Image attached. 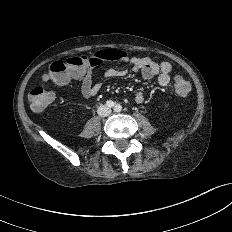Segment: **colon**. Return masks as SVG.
Instances as JSON below:
<instances>
[{"mask_svg": "<svg viewBox=\"0 0 232 232\" xmlns=\"http://www.w3.org/2000/svg\"><path fill=\"white\" fill-rule=\"evenodd\" d=\"M108 57V53L99 51L93 55H81L54 61L49 66V71L45 75V79L53 82L60 81L74 73H80L91 66L98 65ZM174 90L178 96L185 97L189 94L190 85L183 77L177 76L175 78ZM54 100V92L48 89L45 83H41L34 87L29 94L30 106L35 112L45 110Z\"/></svg>", "mask_w": 232, "mask_h": 232, "instance_id": "obj_1", "label": "colon"}]
</instances>
